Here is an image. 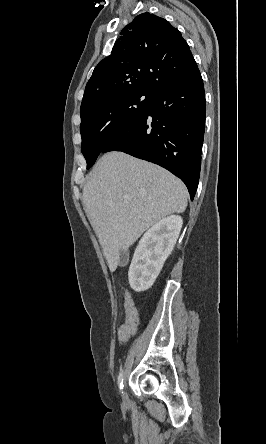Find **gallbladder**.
<instances>
[{
  "label": "gallbladder",
  "instance_id": "bac80fb5",
  "mask_svg": "<svg viewBox=\"0 0 266 444\" xmlns=\"http://www.w3.org/2000/svg\"><path fill=\"white\" fill-rule=\"evenodd\" d=\"M127 253L125 251H122L120 253V265H123L126 262Z\"/></svg>",
  "mask_w": 266,
  "mask_h": 444
}]
</instances>
